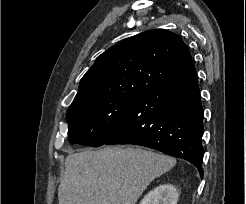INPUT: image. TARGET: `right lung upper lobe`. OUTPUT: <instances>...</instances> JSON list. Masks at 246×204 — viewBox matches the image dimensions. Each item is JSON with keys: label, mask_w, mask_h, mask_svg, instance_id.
<instances>
[{"label": "right lung upper lobe", "mask_w": 246, "mask_h": 204, "mask_svg": "<svg viewBox=\"0 0 246 204\" xmlns=\"http://www.w3.org/2000/svg\"><path fill=\"white\" fill-rule=\"evenodd\" d=\"M182 39L154 29L120 41L82 77L72 105L103 96L142 94L192 66Z\"/></svg>", "instance_id": "right-lung-upper-lobe-1"}]
</instances>
